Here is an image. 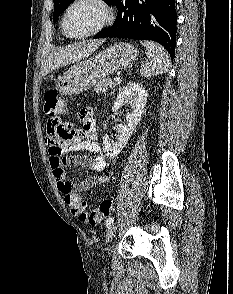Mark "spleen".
Segmentation results:
<instances>
[{"instance_id":"obj_1","label":"spleen","mask_w":233,"mask_h":294,"mask_svg":"<svg viewBox=\"0 0 233 294\" xmlns=\"http://www.w3.org/2000/svg\"><path fill=\"white\" fill-rule=\"evenodd\" d=\"M141 44L146 48L149 61L141 66L140 74L152 77L168 71L170 61L165 49L152 41H141Z\"/></svg>"}]
</instances>
